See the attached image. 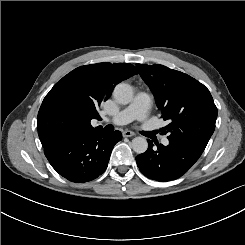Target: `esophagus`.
Instances as JSON below:
<instances>
[{"label": "esophagus", "mask_w": 245, "mask_h": 245, "mask_svg": "<svg viewBox=\"0 0 245 245\" xmlns=\"http://www.w3.org/2000/svg\"><path fill=\"white\" fill-rule=\"evenodd\" d=\"M123 137H131V136H135V133L130 131V130H126L122 133Z\"/></svg>", "instance_id": "1"}]
</instances>
